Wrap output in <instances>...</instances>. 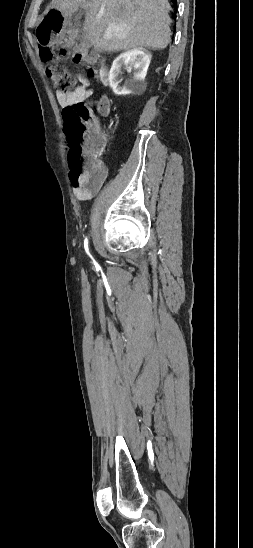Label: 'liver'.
<instances>
[{"mask_svg": "<svg viewBox=\"0 0 253 548\" xmlns=\"http://www.w3.org/2000/svg\"><path fill=\"white\" fill-rule=\"evenodd\" d=\"M63 15L85 10L83 39L97 50L164 49L171 19L167 0H52Z\"/></svg>", "mask_w": 253, "mask_h": 548, "instance_id": "obj_1", "label": "liver"}]
</instances>
